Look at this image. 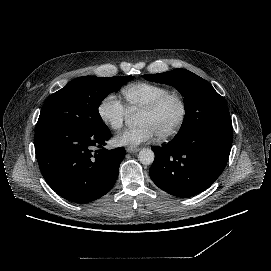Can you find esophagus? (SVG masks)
<instances>
[{
  "label": "esophagus",
  "mask_w": 271,
  "mask_h": 271,
  "mask_svg": "<svg viewBox=\"0 0 271 271\" xmlns=\"http://www.w3.org/2000/svg\"><path fill=\"white\" fill-rule=\"evenodd\" d=\"M139 150H140L139 148H131V147L126 148V152H128V153H136Z\"/></svg>",
  "instance_id": "34e87169"
}]
</instances>
